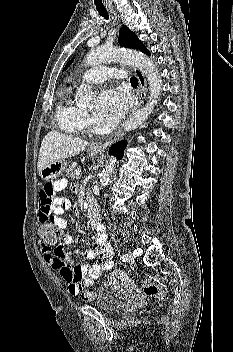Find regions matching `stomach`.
Instances as JSON below:
<instances>
[{
    "label": "stomach",
    "instance_id": "0dacf381",
    "mask_svg": "<svg viewBox=\"0 0 233 352\" xmlns=\"http://www.w3.org/2000/svg\"><path fill=\"white\" fill-rule=\"evenodd\" d=\"M90 155L92 157L97 156L100 154V150H89ZM67 167V163L65 160H57L54 161L48 165H46L40 172V176L44 180H53L55 178H58L60 175H62L63 171Z\"/></svg>",
    "mask_w": 233,
    "mask_h": 352
}]
</instances>
